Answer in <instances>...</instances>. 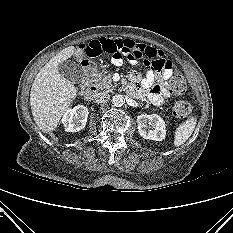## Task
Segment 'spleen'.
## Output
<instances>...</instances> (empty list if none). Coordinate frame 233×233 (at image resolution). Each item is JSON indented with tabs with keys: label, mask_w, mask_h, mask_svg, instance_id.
<instances>
[{
	"label": "spleen",
	"mask_w": 233,
	"mask_h": 233,
	"mask_svg": "<svg viewBox=\"0 0 233 233\" xmlns=\"http://www.w3.org/2000/svg\"><path fill=\"white\" fill-rule=\"evenodd\" d=\"M197 124L196 118L190 116L182 124H180L174 133V146H180L185 143L188 138L192 135L195 126Z\"/></svg>",
	"instance_id": "1"
}]
</instances>
